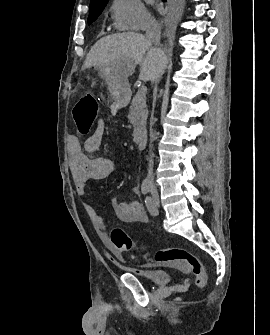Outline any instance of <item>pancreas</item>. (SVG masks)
I'll return each mask as SVG.
<instances>
[{"label":"pancreas","instance_id":"1","mask_svg":"<svg viewBox=\"0 0 270 335\" xmlns=\"http://www.w3.org/2000/svg\"><path fill=\"white\" fill-rule=\"evenodd\" d=\"M128 118L134 126L133 136L141 134L143 130H146V122L148 118L147 110H139L138 106H130V112Z\"/></svg>","mask_w":270,"mask_h":335}]
</instances>
